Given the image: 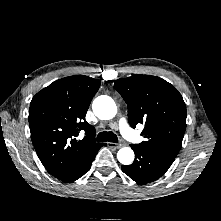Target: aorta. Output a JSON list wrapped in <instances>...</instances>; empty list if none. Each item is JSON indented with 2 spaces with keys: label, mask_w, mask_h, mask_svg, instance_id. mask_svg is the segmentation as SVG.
I'll use <instances>...</instances> for the list:
<instances>
[{
  "label": "aorta",
  "mask_w": 221,
  "mask_h": 221,
  "mask_svg": "<svg viewBox=\"0 0 221 221\" xmlns=\"http://www.w3.org/2000/svg\"><path fill=\"white\" fill-rule=\"evenodd\" d=\"M92 109L94 114L102 120L112 119L117 113V106L114 100L106 95L95 98ZM117 159L123 165H130L134 161V152L129 147H123L118 151Z\"/></svg>",
  "instance_id": "762f6f07"
}]
</instances>
